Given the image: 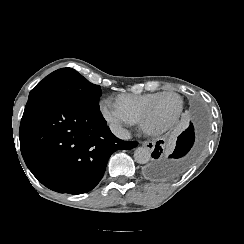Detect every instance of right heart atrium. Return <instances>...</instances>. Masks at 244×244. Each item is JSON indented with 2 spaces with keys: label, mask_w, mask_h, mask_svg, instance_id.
Wrapping results in <instances>:
<instances>
[{
  "label": "right heart atrium",
  "mask_w": 244,
  "mask_h": 244,
  "mask_svg": "<svg viewBox=\"0 0 244 244\" xmlns=\"http://www.w3.org/2000/svg\"><path fill=\"white\" fill-rule=\"evenodd\" d=\"M101 111L105 119L115 127L127 125L132 121V109L128 104L116 108L112 104L104 103L101 107Z\"/></svg>",
  "instance_id": "obj_1"
}]
</instances>
